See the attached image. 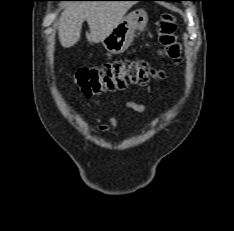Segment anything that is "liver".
I'll list each match as a JSON object with an SVG mask.
<instances>
[{
  "instance_id": "1",
  "label": "liver",
  "mask_w": 234,
  "mask_h": 231,
  "mask_svg": "<svg viewBox=\"0 0 234 231\" xmlns=\"http://www.w3.org/2000/svg\"><path fill=\"white\" fill-rule=\"evenodd\" d=\"M132 1H82L65 7L59 19L58 35L63 47L75 45L86 20L90 33L89 42H102L133 6Z\"/></svg>"
}]
</instances>
